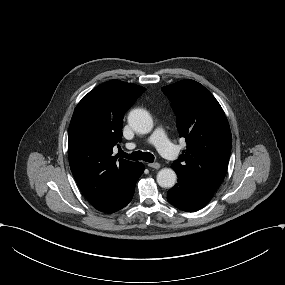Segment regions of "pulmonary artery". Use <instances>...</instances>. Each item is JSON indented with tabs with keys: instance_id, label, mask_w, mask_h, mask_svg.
I'll return each instance as SVG.
<instances>
[{
	"instance_id": "1",
	"label": "pulmonary artery",
	"mask_w": 285,
	"mask_h": 285,
	"mask_svg": "<svg viewBox=\"0 0 285 285\" xmlns=\"http://www.w3.org/2000/svg\"><path fill=\"white\" fill-rule=\"evenodd\" d=\"M147 141L154 145L160 154L166 158H172L171 151H175V154H177L180 150L179 146L173 145L168 140L165 130L162 127H157L153 133L147 138ZM136 144L132 143L130 144V148H134Z\"/></svg>"
}]
</instances>
